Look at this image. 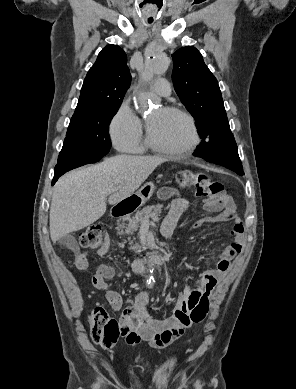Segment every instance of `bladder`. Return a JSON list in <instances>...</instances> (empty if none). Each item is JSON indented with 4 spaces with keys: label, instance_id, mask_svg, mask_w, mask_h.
Returning <instances> with one entry per match:
<instances>
[{
    "label": "bladder",
    "instance_id": "31cf9c89",
    "mask_svg": "<svg viewBox=\"0 0 296 389\" xmlns=\"http://www.w3.org/2000/svg\"><path fill=\"white\" fill-rule=\"evenodd\" d=\"M135 362H136V363H142L143 361H142V358L136 357V358H135Z\"/></svg>",
    "mask_w": 296,
    "mask_h": 389
}]
</instances>
